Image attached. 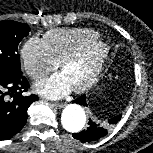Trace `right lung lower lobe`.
<instances>
[{
    "mask_svg": "<svg viewBox=\"0 0 153 153\" xmlns=\"http://www.w3.org/2000/svg\"><path fill=\"white\" fill-rule=\"evenodd\" d=\"M28 87L22 74L0 70V141L12 137L24 127L27 109L39 99L34 94L23 96Z\"/></svg>",
    "mask_w": 153,
    "mask_h": 153,
    "instance_id": "98d812e1",
    "label": "right lung lower lobe"
}]
</instances>
